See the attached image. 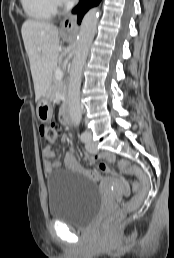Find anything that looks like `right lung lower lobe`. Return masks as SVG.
I'll list each match as a JSON object with an SVG mask.
<instances>
[{"label":"right lung lower lobe","instance_id":"1","mask_svg":"<svg viewBox=\"0 0 174 258\" xmlns=\"http://www.w3.org/2000/svg\"><path fill=\"white\" fill-rule=\"evenodd\" d=\"M101 0H81L77 7L74 8L73 13L78 14V23L81 22L84 14L93 6L99 4Z\"/></svg>","mask_w":174,"mask_h":258}]
</instances>
